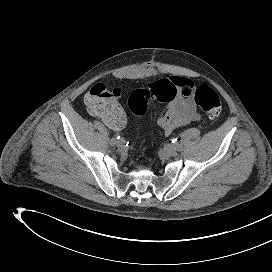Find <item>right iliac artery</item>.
<instances>
[{"label":"right iliac artery","mask_w":272,"mask_h":272,"mask_svg":"<svg viewBox=\"0 0 272 272\" xmlns=\"http://www.w3.org/2000/svg\"><path fill=\"white\" fill-rule=\"evenodd\" d=\"M120 139V135L117 134L114 136V138L111 139L110 144L115 145L116 140Z\"/></svg>","instance_id":"right-iliac-artery-1"}]
</instances>
